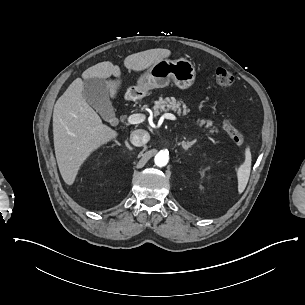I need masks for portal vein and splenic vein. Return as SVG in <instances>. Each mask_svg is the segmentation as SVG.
<instances>
[{
  "mask_svg": "<svg viewBox=\"0 0 305 305\" xmlns=\"http://www.w3.org/2000/svg\"><path fill=\"white\" fill-rule=\"evenodd\" d=\"M170 119L172 121H178V118L174 114H162L159 121L162 123L164 119ZM144 116L142 114H132L127 117V123L134 125L142 122Z\"/></svg>",
  "mask_w": 305,
  "mask_h": 305,
  "instance_id": "1",
  "label": "portal vein and splenic vein"
}]
</instances>
